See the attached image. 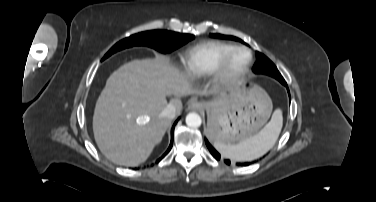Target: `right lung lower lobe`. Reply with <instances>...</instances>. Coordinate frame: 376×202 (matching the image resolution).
<instances>
[{
    "label": "right lung lower lobe",
    "mask_w": 376,
    "mask_h": 202,
    "mask_svg": "<svg viewBox=\"0 0 376 202\" xmlns=\"http://www.w3.org/2000/svg\"><path fill=\"white\" fill-rule=\"evenodd\" d=\"M177 123V121L174 123V125H173V127H172V132H171V134H172V138H171V143H170V146H169V148H168V150L165 152V154L161 157V158H159L158 160H157V163L171 150V148H172V144H173V131H174V127H175V124Z\"/></svg>",
    "instance_id": "obj_1"
}]
</instances>
